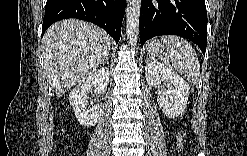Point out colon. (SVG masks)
Returning <instances> with one entry per match:
<instances>
[{
  "label": "colon",
  "instance_id": "colon-1",
  "mask_svg": "<svg viewBox=\"0 0 247 156\" xmlns=\"http://www.w3.org/2000/svg\"><path fill=\"white\" fill-rule=\"evenodd\" d=\"M182 145H183L182 135L178 134V136H177V149L180 150Z\"/></svg>",
  "mask_w": 247,
  "mask_h": 156
}]
</instances>
